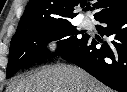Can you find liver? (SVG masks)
<instances>
[{"instance_id": "obj_1", "label": "liver", "mask_w": 127, "mask_h": 92, "mask_svg": "<svg viewBox=\"0 0 127 92\" xmlns=\"http://www.w3.org/2000/svg\"><path fill=\"white\" fill-rule=\"evenodd\" d=\"M6 92H112L83 69L70 65L43 67L13 82Z\"/></svg>"}]
</instances>
